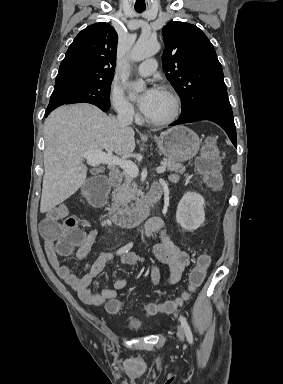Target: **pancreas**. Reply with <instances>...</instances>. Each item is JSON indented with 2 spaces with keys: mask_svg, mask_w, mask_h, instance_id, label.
I'll return each mask as SVG.
<instances>
[{
  "mask_svg": "<svg viewBox=\"0 0 283 384\" xmlns=\"http://www.w3.org/2000/svg\"><path fill=\"white\" fill-rule=\"evenodd\" d=\"M165 168L169 172H175V174H183L185 172V166L183 164H176V162H170V160H164ZM120 178L122 184L121 186H113L115 188L112 192V198L114 204L113 208L120 210L123 216H128L133 212L136 202H139V196L143 194L141 190H138L136 182H133V178L125 174V172H120V170H110L109 178Z\"/></svg>",
  "mask_w": 283,
  "mask_h": 384,
  "instance_id": "obj_1",
  "label": "pancreas"
}]
</instances>
